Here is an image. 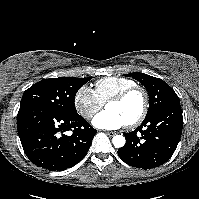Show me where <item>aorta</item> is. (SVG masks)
<instances>
[{
	"label": "aorta",
	"instance_id": "762f6f07",
	"mask_svg": "<svg viewBox=\"0 0 199 199\" xmlns=\"http://www.w3.org/2000/svg\"><path fill=\"white\" fill-rule=\"evenodd\" d=\"M112 143L115 147L121 148L125 145V137L123 135H115Z\"/></svg>",
	"mask_w": 199,
	"mask_h": 199
}]
</instances>
